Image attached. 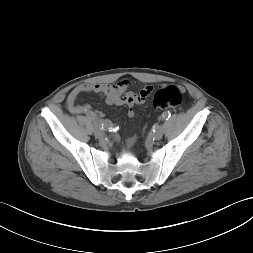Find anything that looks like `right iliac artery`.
<instances>
[{
  "instance_id": "right-iliac-artery-1",
  "label": "right iliac artery",
  "mask_w": 253,
  "mask_h": 253,
  "mask_svg": "<svg viewBox=\"0 0 253 253\" xmlns=\"http://www.w3.org/2000/svg\"><path fill=\"white\" fill-rule=\"evenodd\" d=\"M88 117L95 123L99 122V120L97 119L95 115H90ZM99 126L102 127L101 129H108L109 131H116L118 129V127H116L115 125L111 123H105V122L104 123L99 122Z\"/></svg>"
}]
</instances>
